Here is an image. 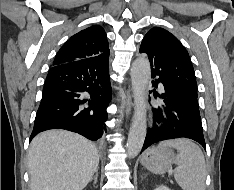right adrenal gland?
Listing matches in <instances>:
<instances>
[{
	"label": "right adrenal gland",
	"mask_w": 234,
	"mask_h": 190,
	"mask_svg": "<svg viewBox=\"0 0 234 190\" xmlns=\"http://www.w3.org/2000/svg\"><path fill=\"white\" fill-rule=\"evenodd\" d=\"M97 178H98V170L95 172V176L90 181L94 180V184H96Z\"/></svg>",
	"instance_id": "obj_1"
}]
</instances>
